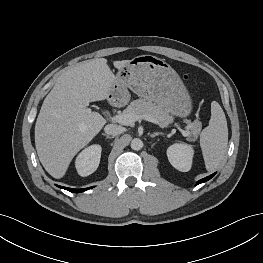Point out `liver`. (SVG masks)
I'll return each mask as SVG.
<instances>
[{
    "mask_svg": "<svg viewBox=\"0 0 263 263\" xmlns=\"http://www.w3.org/2000/svg\"><path fill=\"white\" fill-rule=\"evenodd\" d=\"M129 61H114L113 65L121 70ZM114 81L104 58L80 62L57 78L35 124L36 150L52 177L62 178L77 152L105 125L103 116L87 107L90 102L107 99Z\"/></svg>",
    "mask_w": 263,
    "mask_h": 263,
    "instance_id": "6515ba94",
    "label": "liver"
}]
</instances>
